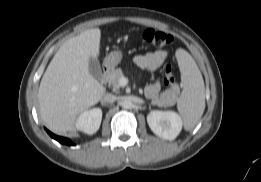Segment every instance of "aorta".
I'll list each match as a JSON object with an SVG mask.
<instances>
[{"label": "aorta", "mask_w": 261, "mask_h": 182, "mask_svg": "<svg viewBox=\"0 0 261 182\" xmlns=\"http://www.w3.org/2000/svg\"><path fill=\"white\" fill-rule=\"evenodd\" d=\"M132 102H131V100H129V99H124L123 101H122V103H121V106H122V108H124V109H130V108H132Z\"/></svg>", "instance_id": "762f6f07"}]
</instances>
